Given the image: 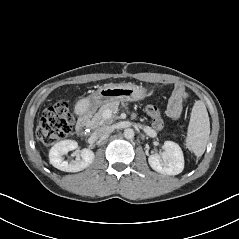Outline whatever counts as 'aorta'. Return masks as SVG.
<instances>
[{
	"instance_id": "aorta-1",
	"label": "aorta",
	"mask_w": 239,
	"mask_h": 239,
	"mask_svg": "<svg viewBox=\"0 0 239 239\" xmlns=\"http://www.w3.org/2000/svg\"><path fill=\"white\" fill-rule=\"evenodd\" d=\"M124 137L126 139H132L134 137V130L131 128L125 129L124 130Z\"/></svg>"
}]
</instances>
